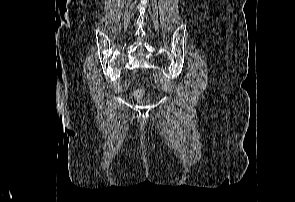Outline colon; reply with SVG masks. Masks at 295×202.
<instances>
[{
  "mask_svg": "<svg viewBox=\"0 0 295 202\" xmlns=\"http://www.w3.org/2000/svg\"><path fill=\"white\" fill-rule=\"evenodd\" d=\"M144 95V89L142 87H139L136 91H135V96L136 97H142Z\"/></svg>",
  "mask_w": 295,
  "mask_h": 202,
  "instance_id": "1",
  "label": "colon"
}]
</instances>
